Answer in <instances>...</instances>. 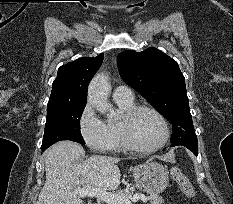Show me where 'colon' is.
<instances>
[{
  "label": "colon",
  "instance_id": "1",
  "mask_svg": "<svg viewBox=\"0 0 233 204\" xmlns=\"http://www.w3.org/2000/svg\"><path fill=\"white\" fill-rule=\"evenodd\" d=\"M170 173L172 179L178 184L181 192L188 198H194L195 190L180 168L174 166L171 168Z\"/></svg>",
  "mask_w": 233,
  "mask_h": 204
}]
</instances>
